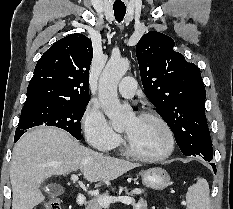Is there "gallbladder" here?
<instances>
[{
	"label": "gallbladder",
	"mask_w": 233,
	"mask_h": 209,
	"mask_svg": "<svg viewBox=\"0 0 233 209\" xmlns=\"http://www.w3.org/2000/svg\"><path fill=\"white\" fill-rule=\"evenodd\" d=\"M64 192L63 188L61 186H50L48 193L51 196H58L61 195Z\"/></svg>",
	"instance_id": "gallbladder-1"
}]
</instances>
